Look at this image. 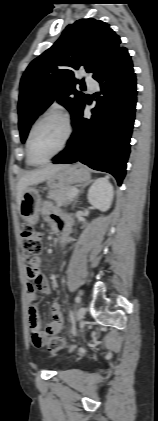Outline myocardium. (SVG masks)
I'll return each mask as SVG.
<instances>
[{"label": "myocardium", "mask_w": 158, "mask_h": 421, "mask_svg": "<svg viewBox=\"0 0 158 421\" xmlns=\"http://www.w3.org/2000/svg\"><path fill=\"white\" fill-rule=\"evenodd\" d=\"M49 117H57L60 120H62V122L64 123L65 126V136L63 139V142L61 144V146L47 159H45L44 161L41 162H36L32 159L31 157V152H30V143H31V138L33 135V132L35 130V128L37 127L38 124H40L43 120L49 118ZM72 132H73V127H72V123L70 118L68 117V115L60 110H49L46 111L45 113H43L31 126L28 136H27V140H26V153H27V159L29 161L30 164L35 165V166H41V165H45L48 162H50L54 157H56L58 154H60L68 145L70 138L72 136Z\"/></svg>", "instance_id": "f54148a6"}]
</instances>
